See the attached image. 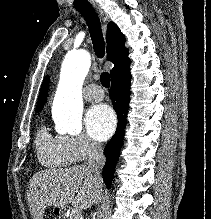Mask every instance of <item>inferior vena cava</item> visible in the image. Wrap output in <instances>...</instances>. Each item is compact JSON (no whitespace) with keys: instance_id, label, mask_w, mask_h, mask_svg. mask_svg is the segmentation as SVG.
I'll return each mask as SVG.
<instances>
[{"instance_id":"1","label":"inferior vena cava","mask_w":211,"mask_h":219,"mask_svg":"<svg viewBox=\"0 0 211 219\" xmlns=\"http://www.w3.org/2000/svg\"><path fill=\"white\" fill-rule=\"evenodd\" d=\"M88 156L89 158L86 168L93 174V178L96 182V187L100 188L103 182L101 171L106 161L102 147L95 142H90L88 148Z\"/></svg>"}]
</instances>
